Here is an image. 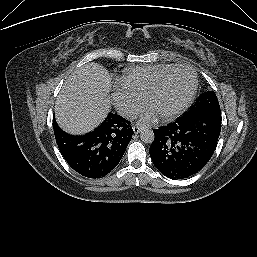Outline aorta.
I'll return each mask as SVG.
<instances>
[{
    "label": "aorta",
    "mask_w": 257,
    "mask_h": 257,
    "mask_svg": "<svg viewBox=\"0 0 257 257\" xmlns=\"http://www.w3.org/2000/svg\"><path fill=\"white\" fill-rule=\"evenodd\" d=\"M140 138L144 143L150 144L154 140V133L150 129H143L140 133Z\"/></svg>",
    "instance_id": "aorta-1"
}]
</instances>
